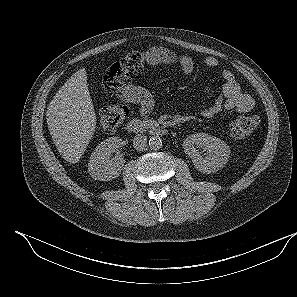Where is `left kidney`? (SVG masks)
<instances>
[{
    "label": "left kidney",
    "mask_w": 297,
    "mask_h": 297,
    "mask_svg": "<svg viewBox=\"0 0 297 297\" xmlns=\"http://www.w3.org/2000/svg\"><path fill=\"white\" fill-rule=\"evenodd\" d=\"M196 147H203L204 157ZM185 154L192 159L194 167L202 173H214L222 169L228 162L229 146L219 138L207 133H196L183 142Z\"/></svg>",
    "instance_id": "5707ae66"
}]
</instances>
